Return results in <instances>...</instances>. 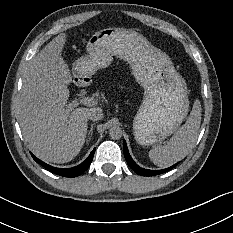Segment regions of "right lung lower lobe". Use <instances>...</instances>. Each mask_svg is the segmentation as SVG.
<instances>
[{
	"instance_id": "obj_1",
	"label": "right lung lower lobe",
	"mask_w": 233,
	"mask_h": 233,
	"mask_svg": "<svg viewBox=\"0 0 233 233\" xmlns=\"http://www.w3.org/2000/svg\"><path fill=\"white\" fill-rule=\"evenodd\" d=\"M94 152H95V149L90 153L88 158L84 162H82L80 165L73 167V168H67V169L52 167V166L42 162L38 158H36L32 153H31V155L37 163H39L44 168H46L47 170H49L57 175L65 176V177H76V176H79L80 174H82L83 172H85L89 168L91 161L93 159V156H94Z\"/></svg>"
}]
</instances>
